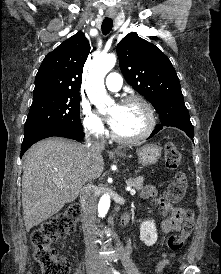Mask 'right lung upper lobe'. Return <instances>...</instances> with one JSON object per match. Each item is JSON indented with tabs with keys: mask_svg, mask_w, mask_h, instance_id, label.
<instances>
[{
	"mask_svg": "<svg viewBox=\"0 0 221 274\" xmlns=\"http://www.w3.org/2000/svg\"><path fill=\"white\" fill-rule=\"evenodd\" d=\"M89 50L88 40L78 32L48 53L35 78L33 99L79 93Z\"/></svg>",
	"mask_w": 221,
	"mask_h": 274,
	"instance_id": "1",
	"label": "right lung upper lobe"
}]
</instances>
